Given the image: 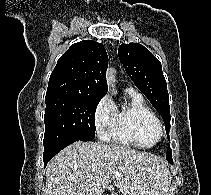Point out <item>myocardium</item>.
I'll list each match as a JSON object with an SVG mask.
<instances>
[{
    "label": "myocardium",
    "instance_id": "obj_1",
    "mask_svg": "<svg viewBox=\"0 0 211 195\" xmlns=\"http://www.w3.org/2000/svg\"><path fill=\"white\" fill-rule=\"evenodd\" d=\"M154 135L158 140L162 137L163 129L160 123L154 128Z\"/></svg>",
    "mask_w": 211,
    "mask_h": 195
}]
</instances>
